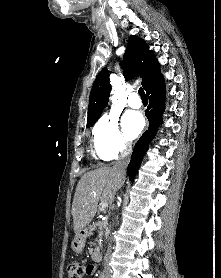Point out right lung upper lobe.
Segmentation results:
<instances>
[{"mask_svg": "<svg viewBox=\"0 0 221 278\" xmlns=\"http://www.w3.org/2000/svg\"><path fill=\"white\" fill-rule=\"evenodd\" d=\"M123 71L129 79L135 76L142 77L144 89L161 75L154 51L149 50L147 43L137 36H130L128 40L123 57ZM110 90L108 70L104 68L96 77L90 93L87 125L94 124L101 115L108 103Z\"/></svg>", "mask_w": 221, "mask_h": 278, "instance_id": "1", "label": "right lung upper lobe"}]
</instances>
